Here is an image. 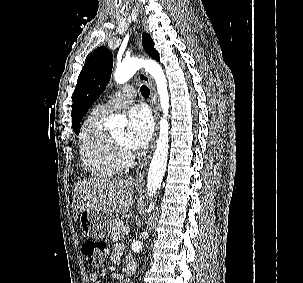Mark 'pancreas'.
<instances>
[{
  "mask_svg": "<svg viewBox=\"0 0 303 283\" xmlns=\"http://www.w3.org/2000/svg\"><path fill=\"white\" fill-rule=\"evenodd\" d=\"M121 222L122 221L119 218L114 219L112 222V230L110 232V238L114 242H117L118 240L124 237L123 228L125 226L122 225Z\"/></svg>",
  "mask_w": 303,
  "mask_h": 283,
  "instance_id": "pancreas-1",
  "label": "pancreas"
}]
</instances>
